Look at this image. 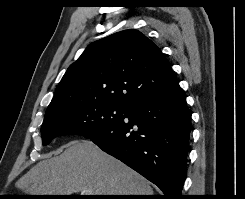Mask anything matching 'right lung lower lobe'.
I'll use <instances>...</instances> for the list:
<instances>
[{"instance_id": "right-lung-lower-lobe-1", "label": "right lung lower lobe", "mask_w": 245, "mask_h": 199, "mask_svg": "<svg viewBox=\"0 0 245 199\" xmlns=\"http://www.w3.org/2000/svg\"><path fill=\"white\" fill-rule=\"evenodd\" d=\"M191 114L179 84L128 107L122 119L89 139L156 184L164 199H182Z\"/></svg>"}]
</instances>
